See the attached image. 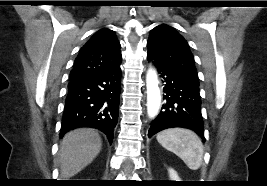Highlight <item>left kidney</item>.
Returning <instances> with one entry per match:
<instances>
[{"label": "left kidney", "mask_w": 267, "mask_h": 186, "mask_svg": "<svg viewBox=\"0 0 267 186\" xmlns=\"http://www.w3.org/2000/svg\"><path fill=\"white\" fill-rule=\"evenodd\" d=\"M169 176L171 181H180L179 176L174 169H169Z\"/></svg>", "instance_id": "left-kidney-1"}]
</instances>
